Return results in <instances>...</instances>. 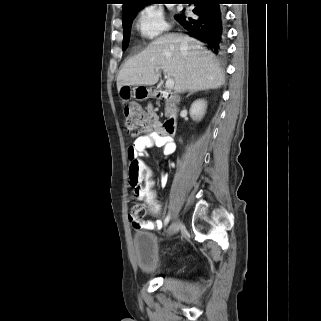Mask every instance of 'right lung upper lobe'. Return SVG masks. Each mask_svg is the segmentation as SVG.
<instances>
[{
  "instance_id": "1",
  "label": "right lung upper lobe",
  "mask_w": 321,
  "mask_h": 321,
  "mask_svg": "<svg viewBox=\"0 0 321 321\" xmlns=\"http://www.w3.org/2000/svg\"><path fill=\"white\" fill-rule=\"evenodd\" d=\"M163 0H123L122 16L139 11L145 4Z\"/></svg>"
}]
</instances>
